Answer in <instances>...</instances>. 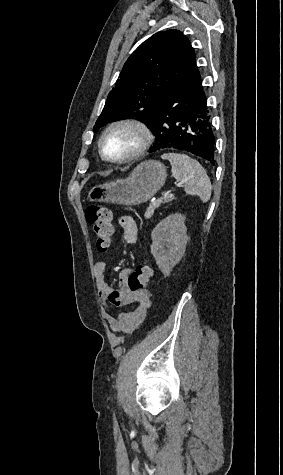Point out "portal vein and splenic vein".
<instances>
[{
	"label": "portal vein and splenic vein",
	"mask_w": 283,
	"mask_h": 475,
	"mask_svg": "<svg viewBox=\"0 0 283 475\" xmlns=\"http://www.w3.org/2000/svg\"><path fill=\"white\" fill-rule=\"evenodd\" d=\"M169 193H170V195L174 196V195H176L177 192H176V190L172 189V190H170ZM164 196L167 197L168 195L165 194Z\"/></svg>",
	"instance_id": "1"
}]
</instances>
